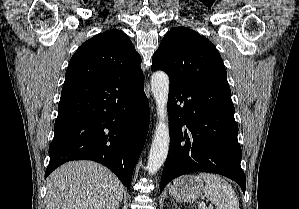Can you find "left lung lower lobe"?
Instances as JSON below:
<instances>
[{
	"label": "left lung lower lobe",
	"mask_w": 299,
	"mask_h": 209,
	"mask_svg": "<svg viewBox=\"0 0 299 209\" xmlns=\"http://www.w3.org/2000/svg\"><path fill=\"white\" fill-rule=\"evenodd\" d=\"M229 87L200 82H170L168 113L171 135L161 188L194 171L212 172L236 181L242 191L238 126Z\"/></svg>",
	"instance_id": "0a47b994"
}]
</instances>
